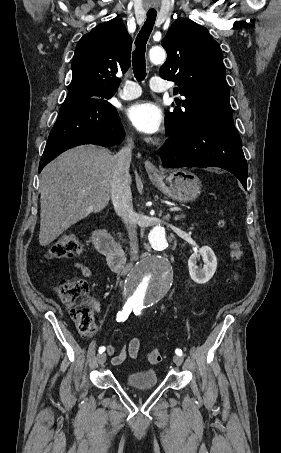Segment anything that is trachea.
I'll use <instances>...</instances> for the list:
<instances>
[{
	"mask_svg": "<svg viewBox=\"0 0 281 453\" xmlns=\"http://www.w3.org/2000/svg\"><path fill=\"white\" fill-rule=\"evenodd\" d=\"M156 12H147V18L135 40V50L132 56L133 73L135 78L141 82L146 77L145 51L146 44L156 20Z\"/></svg>",
	"mask_w": 281,
	"mask_h": 453,
	"instance_id": "1",
	"label": "trachea"
}]
</instances>
